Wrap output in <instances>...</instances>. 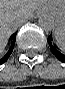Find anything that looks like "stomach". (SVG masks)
Listing matches in <instances>:
<instances>
[{"mask_svg": "<svg viewBox=\"0 0 65 89\" xmlns=\"http://www.w3.org/2000/svg\"><path fill=\"white\" fill-rule=\"evenodd\" d=\"M48 8L57 17L60 28L65 29V2L62 4L52 3L48 6Z\"/></svg>", "mask_w": 65, "mask_h": 89, "instance_id": "1", "label": "stomach"}]
</instances>
